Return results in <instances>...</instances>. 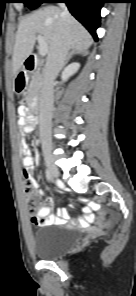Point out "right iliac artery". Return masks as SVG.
Listing matches in <instances>:
<instances>
[{
  "instance_id": "1",
  "label": "right iliac artery",
  "mask_w": 136,
  "mask_h": 296,
  "mask_svg": "<svg viewBox=\"0 0 136 296\" xmlns=\"http://www.w3.org/2000/svg\"><path fill=\"white\" fill-rule=\"evenodd\" d=\"M46 177H47V179H48L49 181L52 180V176H51V174H50V172H49L48 169L46 170Z\"/></svg>"
}]
</instances>
